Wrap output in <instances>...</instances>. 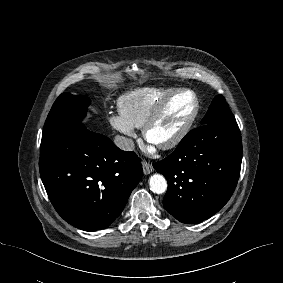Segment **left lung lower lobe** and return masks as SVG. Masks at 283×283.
Returning a JSON list of instances; mask_svg holds the SVG:
<instances>
[{
    "label": "left lung lower lobe",
    "instance_id": "0a47b994",
    "mask_svg": "<svg viewBox=\"0 0 283 283\" xmlns=\"http://www.w3.org/2000/svg\"><path fill=\"white\" fill-rule=\"evenodd\" d=\"M242 140L236 121L214 122L190 131L176 150L154 163L168 189L165 209L182 223H199L218 212L238 181Z\"/></svg>",
    "mask_w": 283,
    "mask_h": 283
}]
</instances>
